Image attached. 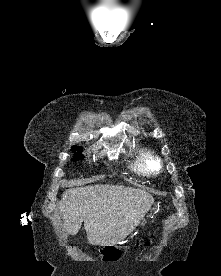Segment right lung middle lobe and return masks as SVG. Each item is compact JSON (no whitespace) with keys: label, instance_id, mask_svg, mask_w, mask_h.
Here are the masks:
<instances>
[{"label":"right lung middle lobe","instance_id":"obj_1","mask_svg":"<svg viewBox=\"0 0 221 276\" xmlns=\"http://www.w3.org/2000/svg\"><path fill=\"white\" fill-rule=\"evenodd\" d=\"M72 150H74V151H78L76 154H75V156H74V158L72 159L74 162L75 161H77V160H82V159H84V156L81 154V148L80 147H77V146H74V147H72Z\"/></svg>","mask_w":221,"mask_h":276}]
</instances>
